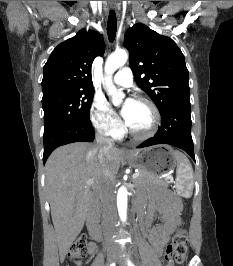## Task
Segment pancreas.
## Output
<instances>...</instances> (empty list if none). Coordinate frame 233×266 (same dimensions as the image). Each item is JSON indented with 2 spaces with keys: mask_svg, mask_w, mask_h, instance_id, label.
I'll use <instances>...</instances> for the list:
<instances>
[{
  "mask_svg": "<svg viewBox=\"0 0 233 266\" xmlns=\"http://www.w3.org/2000/svg\"><path fill=\"white\" fill-rule=\"evenodd\" d=\"M134 184L137 187L146 185V184H165V182L158 176L146 171H139V177L134 180Z\"/></svg>",
  "mask_w": 233,
  "mask_h": 266,
  "instance_id": "pancreas-1",
  "label": "pancreas"
}]
</instances>
